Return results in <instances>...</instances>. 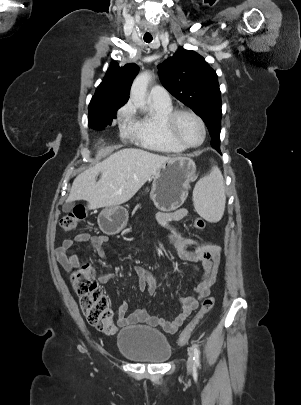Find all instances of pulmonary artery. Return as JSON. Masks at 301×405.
Segmentation results:
<instances>
[{
	"label": "pulmonary artery",
	"instance_id": "obj_1",
	"mask_svg": "<svg viewBox=\"0 0 301 405\" xmlns=\"http://www.w3.org/2000/svg\"><path fill=\"white\" fill-rule=\"evenodd\" d=\"M149 100L163 106L171 105V99L168 91L160 85H156L151 89L149 93Z\"/></svg>",
	"mask_w": 301,
	"mask_h": 405
}]
</instances>
